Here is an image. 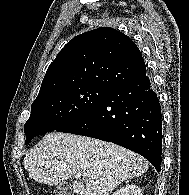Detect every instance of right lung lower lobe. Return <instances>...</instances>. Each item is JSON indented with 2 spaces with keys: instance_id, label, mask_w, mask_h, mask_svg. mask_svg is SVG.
Returning <instances> with one entry per match:
<instances>
[{
  "instance_id": "obj_1",
  "label": "right lung lower lobe",
  "mask_w": 189,
  "mask_h": 195,
  "mask_svg": "<svg viewBox=\"0 0 189 195\" xmlns=\"http://www.w3.org/2000/svg\"><path fill=\"white\" fill-rule=\"evenodd\" d=\"M57 131L113 142L161 170V108L146 72L111 89L87 113Z\"/></svg>"
}]
</instances>
